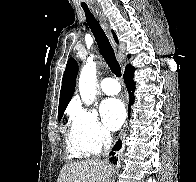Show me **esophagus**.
Returning a JSON list of instances; mask_svg holds the SVG:
<instances>
[{"label": "esophagus", "instance_id": "34e87169", "mask_svg": "<svg viewBox=\"0 0 196 182\" xmlns=\"http://www.w3.org/2000/svg\"><path fill=\"white\" fill-rule=\"evenodd\" d=\"M97 14H98V12H97ZM99 20H100V22H101V25H102L103 29H104L105 32H106V34H107V36H108V38H109L111 44H112L113 46H115V42H114V39H113V37H112V35H111V32H110L109 26H108V24H107V22H106V19H105L100 13H99Z\"/></svg>", "mask_w": 196, "mask_h": 182}]
</instances>
